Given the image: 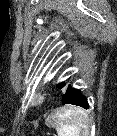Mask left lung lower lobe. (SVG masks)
I'll return each mask as SVG.
<instances>
[{
  "label": "left lung lower lobe",
  "mask_w": 117,
  "mask_h": 136,
  "mask_svg": "<svg viewBox=\"0 0 117 136\" xmlns=\"http://www.w3.org/2000/svg\"><path fill=\"white\" fill-rule=\"evenodd\" d=\"M76 84L67 83L64 94L62 96L63 104H73L85 109L89 108L87 98L83 95L80 89L75 87Z\"/></svg>",
  "instance_id": "left-lung-lower-lobe-1"
}]
</instances>
